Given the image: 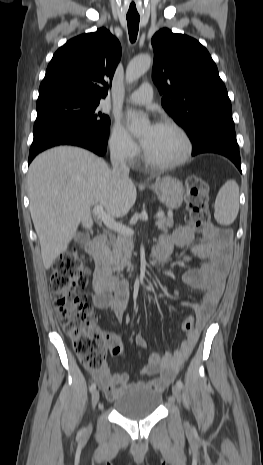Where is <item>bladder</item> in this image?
<instances>
[{"mask_svg": "<svg viewBox=\"0 0 263 465\" xmlns=\"http://www.w3.org/2000/svg\"><path fill=\"white\" fill-rule=\"evenodd\" d=\"M162 402V395L146 386H133L120 395L112 409L130 420H140L153 414Z\"/></svg>", "mask_w": 263, "mask_h": 465, "instance_id": "1", "label": "bladder"}]
</instances>
